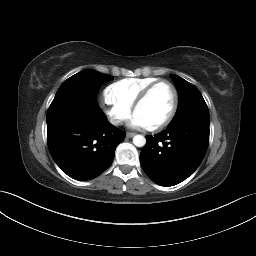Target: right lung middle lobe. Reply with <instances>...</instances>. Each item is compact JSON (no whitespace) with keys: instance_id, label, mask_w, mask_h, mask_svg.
<instances>
[{"instance_id":"1","label":"right lung middle lobe","mask_w":256,"mask_h":256,"mask_svg":"<svg viewBox=\"0 0 256 256\" xmlns=\"http://www.w3.org/2000/svg\"><path fill=\"white\" fill-rule=\"evenodd\" d=\"M112 79L110 76L92 69H87L73 75L62 83L48 112L57 108L82 105L88 96V91L85 88L86 85L89 84L94 95H97L102 84Z\"/></svg>"}]
</instances>
